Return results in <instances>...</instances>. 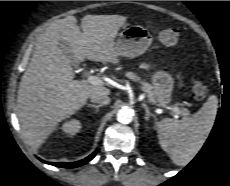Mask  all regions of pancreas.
Returning a JSON list of instances; mask_svg holds the SVG:
<instances>
[{
	"mask_svg": "<svg viewBox=\"0 0 230 186\" xmlns=\"http://www.w3.org/2000/svg\"><path fill=\"white\" fill-rule=\"evenodd\" d=\"M126 76L135 81V82H138L141 84V89L145 92H147L148 94V97L150 98H154V90L152 88V86L146 82L145 80H141L140 77L137 76L136 73L134 72H126ZM181 111V115H183L184 117H188L190 115L189 111L187 109H182L180 110Z\"/></svg>",
	"mask_w": 230,
	"mask_h": 186,
	"instance_id": "1",
	"label": "pancreas"
}]
</instances>
